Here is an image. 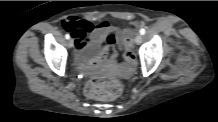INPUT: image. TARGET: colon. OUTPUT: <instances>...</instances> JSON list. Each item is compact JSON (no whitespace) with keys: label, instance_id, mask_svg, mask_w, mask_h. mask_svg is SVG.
<instances>
[{"label":"colon","instance_id":"colon-1","mask_svg":"<svg viewBox=\"0 0 218 122\" xmlns=\"http://www.w3.org/2000/svg\"><path fill=\"white\" fill-rule=\"evenodd\" d=\"M133 29L134 25L128 27L124 41V58L131 66L136 65V58L132 52ZM119 38V32L115 28H106L102 32V41L105 44L101 45V50L98 54L90 56L83 64H78V73L88 78L92 76V71L98 70L99 66L103 63L110 64L111 62H116L118 60ZM122 92L123 84L115 78H109L104 81L91 79L85 87V93L88 97L101 100L115 99L119 97Z\"/></svg>","mask_w":218,"mask_h":122}]
</instances>
